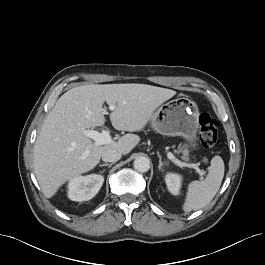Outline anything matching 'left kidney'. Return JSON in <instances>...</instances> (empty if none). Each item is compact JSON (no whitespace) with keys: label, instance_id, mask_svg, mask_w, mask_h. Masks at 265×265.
<instances>
[{"label":"left kidney","instance_id":"1","mask_svg":"<svg viewBox=\"0 0 265 265\" xmlns=\"http://www.w3.org/2000/svg\"><path fill=\"white\" fill-rule=\"evenodd\" d=\"M181 181H182V178L178 174L167 173L165 175V182H166L167 188L170 191V193H172L173 195L179 194V190L181 187Z\"/></svg>","mask_w":265,"mask_h":265}]
</instances>
